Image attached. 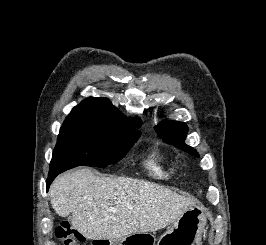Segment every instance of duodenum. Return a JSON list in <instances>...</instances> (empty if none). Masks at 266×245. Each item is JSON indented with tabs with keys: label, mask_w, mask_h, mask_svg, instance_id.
<instances>
[{
	"label": "duodenum",
	"mask_w": 266,
	"mask_h": 245,
	"mask_svg": "<svg viewBox=\"0 0 266 245\" xmlns=\"http://www.w3.org/2000/svg\"><path fill=\"white\" fill-rule=\"evenodd\" d=\"M114 242V237H93V245H110Z\"/></svg>",
	"instance_id": "1"
}]
</instances>
